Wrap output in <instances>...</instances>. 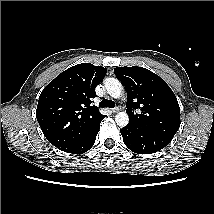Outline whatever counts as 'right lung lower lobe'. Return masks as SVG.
I'll return each instance as SVG.
<instances>
[{
  "label": "right lung lower lobe",
  "mask_w": 214,
  "mask_h": 214,
  "mask_svg": "<svg viewBox=\"0 0 214 214\" xmlns=\"http://www.w3.org/2000/svg\"><path fill=\"white\" fill-rule=\"evenodd\" d=\"M100 125V124H99ZM99 125L96 126L81 142L75 147L65 151L72 154H82L87 152L94 144L96 135L99 132Z\"/></svg>",
  "instance_id": "obj_1"
}]
</instances>
